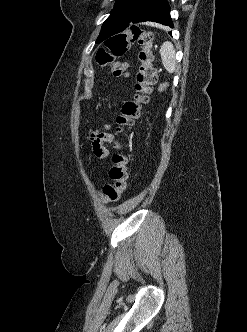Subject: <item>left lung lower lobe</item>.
<instances>
[{"instance_id": "1", "label": "left lung lower lobe", "mask_w": 247, "mask_h": 332, "mask_svg": "<svg viewBox=\"0 0 247 332\" xmlns=\"http://www.w3.org/2000/svg\"><path fill=\"white\" fill-rule=\"evenodd\" d=\"M157 22L173 27L170 17V7L166 0H148L136 14L125 23L123 30L134 28L136 24L142 22Z\"/></svg>"}]
</instances>
